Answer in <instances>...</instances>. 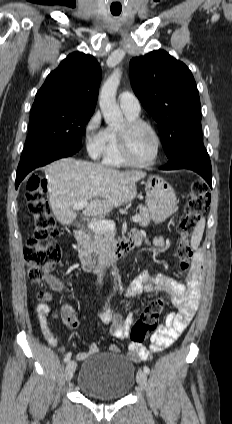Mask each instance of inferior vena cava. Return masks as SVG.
<instances>
[{"instance_id":"inferior-vena-cava-1","label":"inferior vena cava","mask_w":232,"mask_h":424,"mask_svg":"<svg viewBox=\"0 0 232 424\" xmlns=\"http://www.w3.org/2000/svg\"><path fill=\"white\" fill-rule=\"evenodd\" d=\"M97 280H98V283H102V280H103V273L100 271L99 273H98V278H97Z\"/></svg>"}]
</instances>
